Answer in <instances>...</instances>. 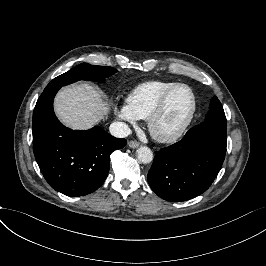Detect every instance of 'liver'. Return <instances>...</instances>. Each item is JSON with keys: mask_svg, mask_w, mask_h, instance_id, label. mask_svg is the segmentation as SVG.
<instances>
[{"mask_svg": "<svg viewBox=\"0 0 266 266\" xmlns=\"http://www.w3.org/2000/svg\"><path fill=\"white\" fill-rule=\"evenodd\" d=\"M54 109L60 121L74 130L92 128L109 112L101 94L88 83L62 88L55 98Z\"/></svg>", "mask_w": 266, "mask_h": 266, "instance_id": "liver-1", "label": "liver"}]
</instances>
